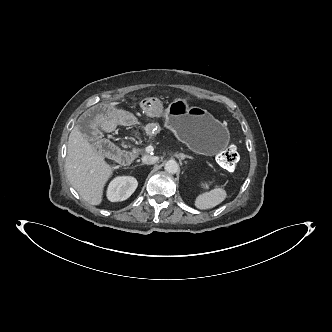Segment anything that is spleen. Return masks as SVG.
I'll return each mask as SVG.
<instances>
[{
  "label": "spleen",
  "instance_id": "obj_1",
  "mask_svg": "<svg viewBox=\"0 0 332 332\" xmlns=\"http://www.w3.org/2000/svg\"><path fill=\"white\" fill-rule=\"evenodd\" d=\"M227 197L223 188H214L199 194L195 199V206L200 210L211 209L222 203Z\"/></svg>",
  "mask_w": 332,
  "mask_h": 332
}]
</instances>
